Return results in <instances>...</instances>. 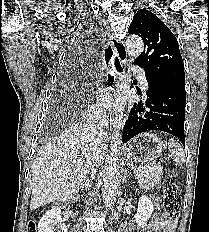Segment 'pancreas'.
Returning a JSON list of instances; mask_svg holds the SVG:
<instances>
[{
	"mask_svg": "<svg viewBox=\"0 0 209 232\" xmlns=\"http://www.w3.org/2000/svg\"><path fill=\"white\" fill-rule=\"evenodd\" d=\"M138 185L142 189H150L159 186L162 176V168L155 167V169H148L147 167L137 168L135 170Z\"/></svg>",
	"mask_w": 209,
	"mask_h": 232,
	"instance_id": "cf45deb5",
	"label": "pancreas"
}]
</instances>
